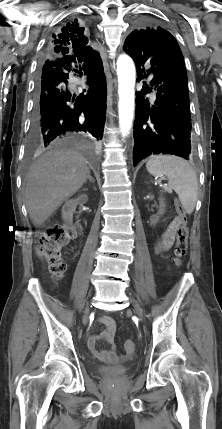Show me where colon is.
Segmentation results:
<instances>
[{
    "mask_svg": "<svg viewBox=\"0 0 222 429\" xmlns=\"http://www.w3.org/2000/svg\"><path fill=\"white\" fill-rule=\"evenodd\" d=\"M178 214L179 226L176 231L175 256L179 262L187 253L188 234L186 212L179 201L175 202ZM75 231L60 224H55L43 232L37 244V253L47 263L49 271L55 278H61L66 271L61 251L73 238ZM124 349L128 354L135 350V343L132 340L124 342Z\"/></svg>",
    "mask_w": 222,
    "mask_h": 429,
    "instance_id": "1",
    "label": "colon"
}]
</instances>
